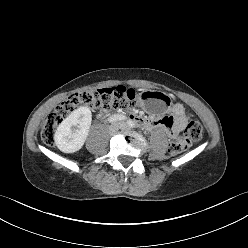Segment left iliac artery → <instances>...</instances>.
Returning a JSON list of instances; mask_svg holds the SVG:
<instances>
[{
	"instance_id": "44dca946",
	"label": "left iliac artery",
	"mask_w": 248,
	"mask_h": 248,
	"mask_svg": "<svg viewBox=\"0 0 248 248\" xmlns=\"http://www.w3.org/2000/svg\"><path fill=\"white\" fill-rule=\"evenodd\" d=\"M127 124L130 126V127H136V125H135V123L133 122V121H130V120H128L127 121Z\"/></svg>"
}]
</instances>
